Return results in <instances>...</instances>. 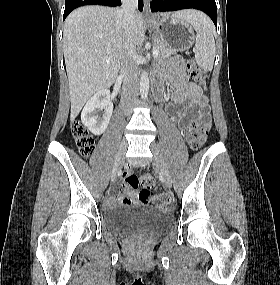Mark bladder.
I'll list each match as a JSON object with an SVG mask.
<instances>
[{
  "label": "bladder",
  "mask_w": 280,
  "mask_h": 285,
  "mask_svg": "<svg viewBox=\"0 0 280 285\" xmlns=\"http://www.w3.org/2000/svg\"><path fill=\"white\" fill-rule=\"evenodd\" d=\"M102 217L108 230L123 235L159 234L172 222L168 212L151 206L115 208L104 212Z\"/></svg>",
  "instance_id": "bladder-1"
}]
</instances>
